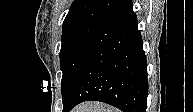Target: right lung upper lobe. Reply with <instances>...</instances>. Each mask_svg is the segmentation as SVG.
Instances as JSON below:
<instances>
[{
  "label": "right lung upper lobe",
  "mask_w": 193,
  "mask_h": 112,
  "mask_svg": "<svg viewBox=\"0 0 193 112\" xmlns=\"http://www.w3.org/2000/svg\"><path fill=\"white\" fill-rule=\"evenodd\" d=\"M132 7V0H75L62 31L93 26L116 32L137 19Z\"/></svg>",
  "instance_id": "cb5924a9"
}]
</instances>
